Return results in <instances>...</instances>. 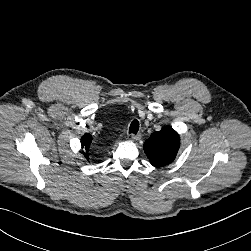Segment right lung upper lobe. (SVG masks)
I'll list each match as a JSON object with an SVG mask.
<instances>
[{"instance_id": "1", "label": "right lung upper lobe", "mask_w": 251, "mask_h": 251, "mask_svg": "<svg viewBox=\"0 0 251 251\" xmlns=\"http://www.w3.org/2000/svg\"><path fill=\"white\" fill-rule=\"evenodd\" d=\"M91 141H92V137L88 133H86L85 135H83L82 138H81L82 148H84L86 150V153H84V155L87 157L88 160H89L88 150H89Z\"/></svg>"}]
</instances>
